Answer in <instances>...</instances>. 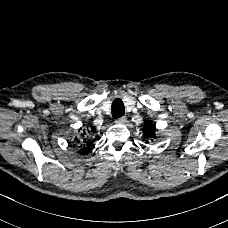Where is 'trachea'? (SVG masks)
I'll list each match as a JSON object with an SVG mask.
<instances>
[{
	"label": "trachea",
	"mask_w": 228,
	"mask_h": 228,
	"mask_svg": "<svg viewBox=\"0 0 228 228\" xmlns=\"http://www.w3.org/2000/svg\"><path fill=\"white\" fill-rule=\"evenodd\" d=\"M125 113L124 104L121 99L117 98L112 103V116L114 118L122 117Z\"/></svg>",
	"instance_id": "3493384b"
}]
</instances>
